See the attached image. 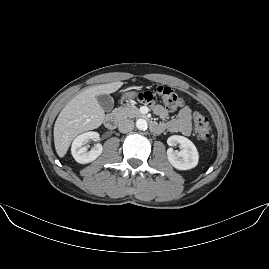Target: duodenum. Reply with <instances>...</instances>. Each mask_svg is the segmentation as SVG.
Wrapping results in <instances>:
<instances>
[{
	"mask_svg": "<svg viewBox=\"0 0 269 269\" xmlns=\"http://www.w3.org/2000/svg\"><path fill=\"white\" fill-rule=\"evenodd\" d=\"M141 117H145L143 113L140 114ZM117 119L113 115H107L104 119V125L107 129L112 130L116 127ZM150 130L154 133H159L163 130V127L161 124L158 123H151L150 124Z\"/></svg>",
	"mask_w": 269,
	"mask_h": 269,
	"instance_id": "1",
	"label": "duodenum"
}]
</instances>
